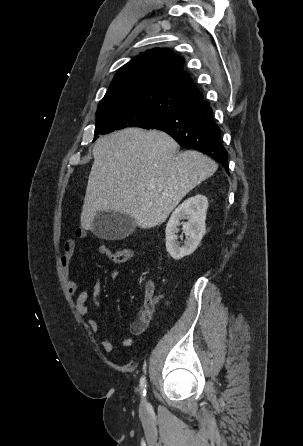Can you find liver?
Instances as JSON below:
<instances>
[{
  "mask_svg": "<svg viewBox=\"0 0 303 446\" xmlns=\"http://www.w3.org/2000/svg\"><path fill=\"white\" fill-rule=\"evenodd\" d=\"M177 143L164 132L127 128L98 139L81 226L92 230L98 212H120L147 229L161 225L194 187L218 165L198 151L176 155Z\"/></svg>",
  "mask_w": 303,
  "mask_h": 446,
  "instance_id": "obj_1",
  "label": "liver"
}]
</instances>
